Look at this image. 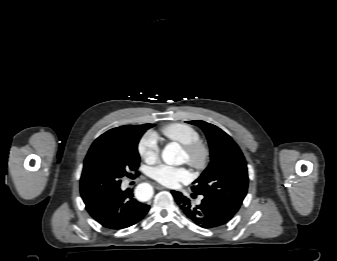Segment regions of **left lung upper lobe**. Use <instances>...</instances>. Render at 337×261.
I'll return each mask as SVG.
<instances>
[{
	"mask_svg": "<svg viewBox=\"0 0 337 261\" xmlns=\"http://www.w3.org/2000/svg\"><path fill=\"white\" fill-rule=\"evenodd\" d=\"M199 126L209 142L211 162L193 182V192L214 200L233 214L239 210L248 188L244 156L232 138L217 126L204 121H189Z\"/></svg>",
	"mask_w": 337,
	"mask_h": 261,
	"instance_id": "5c2ea615",
	"label": "left lung upper lobe"
}]
</instances>
